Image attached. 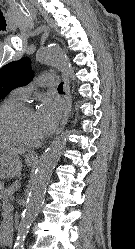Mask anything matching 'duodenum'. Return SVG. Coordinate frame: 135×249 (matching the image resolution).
<instances>
[{
  "label": "duodenum",
  "instance_id": "1",
  "mask_svg": "<svg viewBox=\"0 0 135 249\" xmlns=\"http://www.w3.org/2000/svg\"><path fill=\"white\" fill-rule=\"evenodd\" d=\"M0 244L4 248H10V246H11V237H10V235H3L0 238Z\"/></svg>",
  "mask_w": 135,
  "mask_h": 249
}]
</instances>
